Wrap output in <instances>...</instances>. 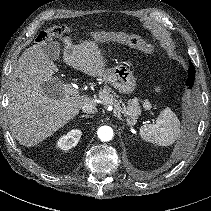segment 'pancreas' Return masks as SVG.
I'll list each match as a JSON object with an SVG mask.
<instances>
[{"label":"pancreas","instance_id":"obj_1","mask_svg":"<svg viewBox=\"0 0 211 211\" xmlns=\"http://www.w3.org/2000/svg\"><path fill=\"white\" fill-rule=\"evenodd\" d=\"M99 98L103 100L105 106H113L114 116L122 119L121 114L126 117V121L130 125L136 123V119L140 114L139 99L134 98L127 105L122 102L119 96L108 86H105L99 93Z\"/></svg>","mask_w":211,"mask_h":211}]
</instances>
